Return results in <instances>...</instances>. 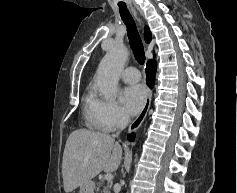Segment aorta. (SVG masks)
<instances>
[{
	"instance_id": "aorta-1",
	"label": "aorta",
	"mask_w": 237,
	"mask_h": 193,
	"mask_svg": "<svg viewBox=\"0 0 237 193\" xmlns=\"http://www.w3.org/2000/svg\"><path fill=\"white\" fill-rule=\"evenodd\" d=\"M128 50L123 44H116L101 60L96 76V83L106 99L117 92L119 74L128 58Z\"/></svg>"
}]
</instances>
